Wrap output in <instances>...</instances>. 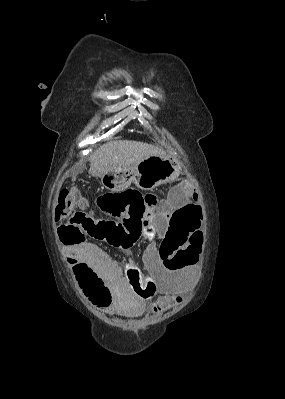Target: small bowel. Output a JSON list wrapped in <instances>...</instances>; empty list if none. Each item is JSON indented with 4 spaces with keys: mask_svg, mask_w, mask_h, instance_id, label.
I'll use <instances>...</instances> for the list:
<instances>
[{
    "mask_svg": "<svg viewBox=\"0 0 285 399\" xmlns=\"http://www.w3.org/2000/svg\"><path fill=\"white\" fill-rule=\"evenodd\" d=\"M187 195L182 194L178 197L175 204L177 208L185 205ZM89 216L94 220V228H86V232L93 237H100L106 224H112L110 217L115 214L113 210L108 213H100L95 204H91ZM175 206L168 205L163 208L165 214H171ZM176 208V209H177ZM155 206H150L148 211L153 216ZM100 215V216H99ZM167 222L166 217L154 219L144 231V238L153 242L156 235L160 234L166 237L170 244H181L185 257L190 261L186 266L177 270H165L162 268L158 251L155 246L148 247L143 253V264L152 274L153 291L152 295L147 293L145 288L148 284L144 282L135 302H131L124 290L136 280H140V269L136 265H128L123 272L120 267L111 259L100 252L95 245L91 243H82L67 246L65 254L73 273L85 294L91 302L105 310L108 314H118L126 318H132L142 315L146 311L162 313L175 304H179L186 293L191 289L196 274L194 260L197 254V244L200 231L193 228L194 219H188L185 222H173L169 226H164ZM66 237L71 234L64 231ZM82 265H89L98 278H104L105 284L110 293V301H106L104 296L96 291L88 290L78 277L77 268Z\"/></svg>",
    "mask_w": 285,
    "mask_h": 399,
    "instance_id": "small-bowel-1",
    "label": "small bowel"
}]
</instances>
